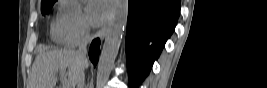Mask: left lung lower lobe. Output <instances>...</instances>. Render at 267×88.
<instances>
[{
    "mask_svg": "<svg viewBox=\"0 0 267 88\" xmlns=\"http://www.w3.org/2000/svg\"><path fill=\"white\" fill-rule=\"evenodd\" d=\"M180 14V0H129L126 54L130 85L150 72Z\"/></svg>",
    "mask_w": 267,
    "mask_h": 88,
    "instance_id": "0a47b994",
    "label": "left lung lower lobe"
}]
</instances>
